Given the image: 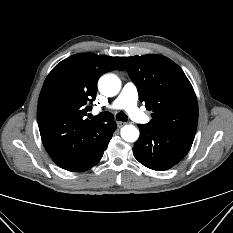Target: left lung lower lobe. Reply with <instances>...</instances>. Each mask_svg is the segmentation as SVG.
<instances>
[{"instance_id":"left-lung-lower-lobe-1","label":"left lung lower lobe","mask_w":233,"mask_h":233,"mask_svg":"<svg viewBox=\"0 0 233 233\" xmlns=\"http://www.w3.org/2000/svg\"><path fill=\"white\" fill-rule=\"evenodd\" d=\"M140 137L135 142L133 153L144 166L164 171L179 161L189 152L194 136L175 134L154 129L147 124H139Z\"/></svg>"}]
</instances>
